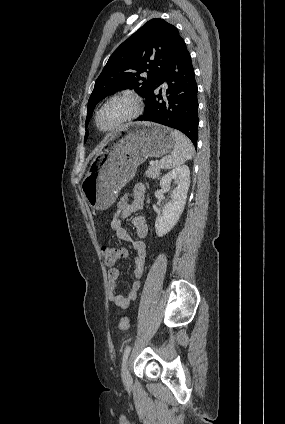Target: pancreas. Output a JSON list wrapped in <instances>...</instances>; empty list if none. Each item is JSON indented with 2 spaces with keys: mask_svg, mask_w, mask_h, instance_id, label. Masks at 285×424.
<instances>
[{
  "mask_svg": "<svg viewBox=\"0 0 285 424\" xmlns=\"http://www.w3.org/2000/svg\"><path fill=\"white\" fill-rule=\"evenodd\" d=\"M160 174V166L158 162H155L153 165H150L145 175L149 178L156 179Z\"/></svg>",
  "mask_w": 285,
  "mask_h": 424,
  "instance_id": "obj_1",
  "label": "pancreas"
}]
</instances>
